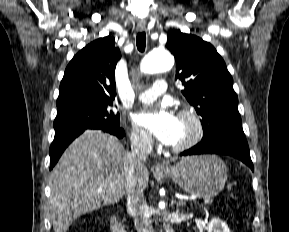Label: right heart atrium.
I'll list each match as a JSON object with an SVG mask.
<instances>
[{"label":"right heart atrium","instance_id":"right-heart-atrium-1","mask_svg":"<svg viewBox=\"0 0 289 232\" xmlns=\"http://www.w3.org/2000/svg\"><path fill=\"white\" fill-rule=\"evenodd\" d=\"M130 141L132 146L143 152L150 151L153 146L152 139L143 131L133 128L130 131Z\"/></svg>","mask_w":289,"mask_h":232}]
</instances>
